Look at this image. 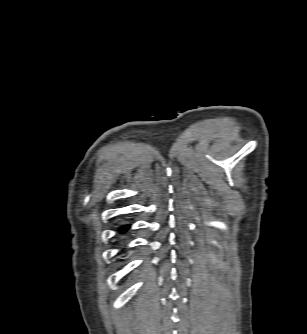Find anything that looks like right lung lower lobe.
<instances>
[{"label": "right lung lower lobe", "instance_id": "obj_1", "mask_svg": "<svg viewBox=\"0 0 307 334\" xmlns=\"http://www.w3.org/2000/svg\"><path fill=\"white\" fill-rule=\"evenodd\" d=\"M129 228H130V225H129V224L120 225V226L117 228L118 235H119V236H123V235H125V234L128 232Z\"/></svg>", "mask_w": 307, "mask_h": 334}]
</instances>
